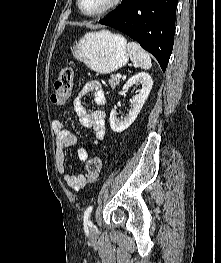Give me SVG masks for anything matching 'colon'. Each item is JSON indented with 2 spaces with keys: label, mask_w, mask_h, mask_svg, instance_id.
<instances>
[{
  "label": "colon",
  "mask_w": 221,
  "mask_h": 263,
  "mask_svg": "<svg viewBox=\"0 0 221 263\" xmlns=\"http://www.w3.org/2000/svg\"><path fill=\"white\" fill-rule=\"evenodd\" d=\"M73 84V73L69 67L63 68L54 84V93L51 101L55 105H63L70 97ZM102 161L99 157L94 156L86 161V177L90 183L95 182L101 172Z\"/></svg>",
  "instance_id": "5ec220e1"
}]
</instances>
